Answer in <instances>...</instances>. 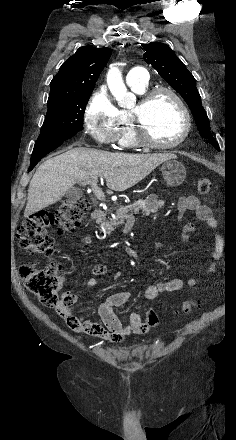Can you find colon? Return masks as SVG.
I'll list each match as a JSON object with an SVG mask.
<instances>
[{
  "label": "colon",
  "mask_w": 236,
  "mask_h": 440,
  "mask_svg": "<svg viewBox=\"0 0 236 440\" xmlns=\"http://www.w3.org/2000/svg\"><path fill=\"white\" fill-rule=\"evenodd\" d=\"M199 193L207 194L211 191L210 179L202 177L198 180ZM89 209L87 199L81 197L64 201L54 212L40 211L26 218L18 228V241L21 248L32 255L52 257L56 247L49 227L56 226L57 233L62 234L75 230L80 226ZM20 276L26 288L35 295L45 306L54 308L67 322L84 321L68 314L70 306L68 299L61 293L65 279L60 272L58 264L50 262L44 267L23 264L20 267ZM197 304L193 301L186 302L182 311L189 314ZM144 324L149 328L159 325V317L153 310L145 314Z\"/></svg>",
  "instance_id": "obj_1"
}]
</instances>
